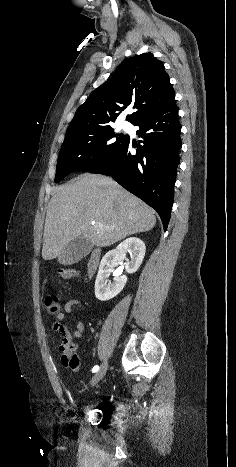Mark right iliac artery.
I'll return each mask as SVG.
<instances>
[{"mask_svg": "<svg viewBox=\"0 0 236 467\" xmlns=\"http://www.w3.org/2000/svg\"><path fill=\"white\" fill-rule=\"evenodd\" d=\"M98 370H99V366L96 365V366L93 367L92 372L95 373V372H97Z\"/></svg>", "mask_w": 236, "mask_h": 467, "instance_id": "obj_1", "label": "right iliac artery"}]
</instances>
